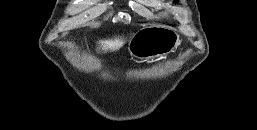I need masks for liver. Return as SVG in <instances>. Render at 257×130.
<instances>
[{"mask_svg":"<svg viewBox=\"0 0 257 130\" xmlns=\"http://www.w3.org/2000/svg\"><path fill=\"white\" fill-rule=\"evenodd\" d=\"M99 44L102 47V50H104L105 52L107 51H114L116 49H118L120 46H122L124 44V41L122 39H114V40H104V41H100Z\"/></svg>","mask_w":257,"mask_h":130,"instance_id":"6515ba94","label":"liver"}]
</instances>
